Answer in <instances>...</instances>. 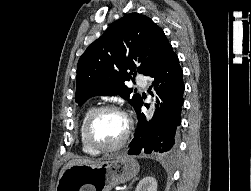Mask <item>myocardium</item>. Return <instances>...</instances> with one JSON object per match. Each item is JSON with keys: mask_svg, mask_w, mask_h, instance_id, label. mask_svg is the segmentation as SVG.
<instances>
[{"mask_svg": "<svg viewBox=\"0 0 251 191\" xmlns=\"http://www.w3.org/2000/svg\"><path fill=\"white\" fill-rule=\"evenodd\" d=\"M105 111L116 112L123 118L125 122V130H124V134L121 140L110 146H101L97 144L96 142H94V140L91 137L92 124L94 123L97 116ZM131 128H132L131 121L124 112H122L118 107L114 105L103 104V105L93 108L92 111L85 118L82 125V139L85 146L96 153L111 152V151L121 148L127 142L131 133Z\"/></svg>", "mask_w": 251, "mask_h": 191, "instance_id": "myocardium-1", "label": "myocardium"}]
</instances>
